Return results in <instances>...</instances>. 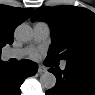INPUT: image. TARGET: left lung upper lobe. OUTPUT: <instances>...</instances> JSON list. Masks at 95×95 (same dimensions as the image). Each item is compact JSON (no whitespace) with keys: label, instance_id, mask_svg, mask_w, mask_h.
<instances>
[{"label":"left lung upper lobe","instance_id":"obj_1","mask_svg":"<svg viewBox=\"0 0 95 95\" xmlns=\"http://www.w3.org/2000/svg\"><path fill=\"white\" fill-rule=\"evenodd\" d=\"M32 21L49 23L52 44L47 60L65 58L67 63L95 68V14L75 6L37 8Z\"/></svg>","mask_w":95,"mask_h":95}]
</instances>
